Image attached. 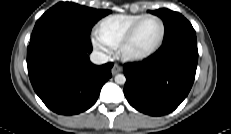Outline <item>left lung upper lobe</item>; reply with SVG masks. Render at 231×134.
<instances>
[{"label": "left lung upper lobe", "mask_w": 231, "mask_h": 134, "mask_svg": "<svg viewBox=\"0 0 231 134\" xmlns=\"http://www.w3.org/2000/svg\"><path fill=\"white\" fill-rule=\"evenodd\" d=\"M152 14L159 16L165 27L164 42L183 35H196L191 23L180 13L169 9H158L151 11Z\"/></svg>", "instance_id": "5c2ea615"}]
</instances>
